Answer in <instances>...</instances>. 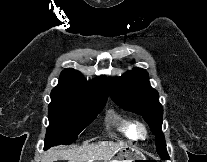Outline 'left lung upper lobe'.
<instances>
[{"label":"left lung upper lobe","instance_id":"1","mask_svg":"<svg viewBox=\"0 0 207 162\" xmlns=\"http://www.w3.org/2000/svg\"><path fill=\"white\" fill-rule=\"evenodd\" d=\"M110 96L121 108L142 115L155 134V143L161 159L167 158L165 138L161 131L163 107L159 95L150 86L148 73L134 68L121 77L109 80Z\"/></svg>","mask_w":207,"mask_h":162}]
</instances>
